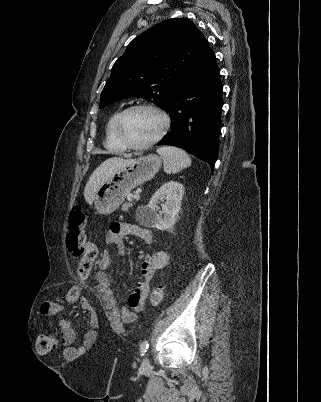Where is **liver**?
<instances>
[{
	"label": "liver",
	"instance_id": "obj_1",
	"mask_svg": "<svg viewBox=\"0 0 321 402\" xmlns=\"http://www.w3.org/2000/svg\"><path fill=\"white\" fill-rule=\"evenodd\" d=\"M133 162L134 159L112 157L101 163L89 177L85 186L84 197L87 203L91 204L93 202L95 192L111 175Z\"/></svg>",
	"mask_w": 321,
	"mask_h": 402
}]
</instances>
